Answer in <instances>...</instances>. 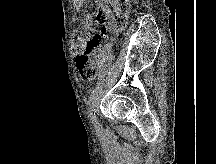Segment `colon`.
<instances>
[{
  "mask_svg": "<svg viewBox=\"0 0 216 164\" xmlns=\"http://www.w3.org/2000/svg\"><path fill=\"white\" fill-rule=\"evenodd\" d=\"M130 0H104L94 16L84 20V28L73 39V50L77 54L75 63L83 80L92 81L97 73L101 55V43L97 33L106 32L103 24L110 19L112 27L121 31L127 23Z\"/></svg>",
  "mask_w": 216,
  "mask_h": 164,
  "instance_id": "obj_1",
  "label": "colon"
}]
</instances>
